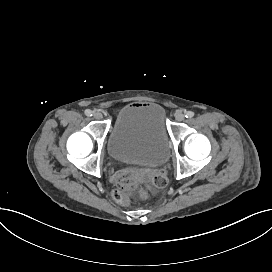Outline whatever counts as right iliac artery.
<instances>
[{
	"label": "right iliac artery",
	"mask_w": 272,
	"mask_h": 272,
	"mask_svg": "<svg viewBox=\"0 0 272 272\" xmlns=\"http://www.w3.org/2000/svg\"><path fill=\"white\" fill-rule=\"evenodd\" d=\"M85 114L86 116H92L93 115V112L89 109L85 110Z\"/></svg>",
	"instance_id": "obj_1"
}]
</instances>
